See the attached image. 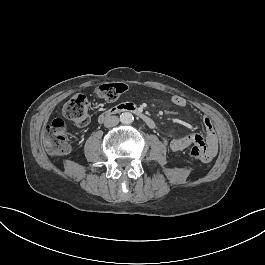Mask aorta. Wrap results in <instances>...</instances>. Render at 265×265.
Instances as JSON below:
<instances>
[{"label": "aorta", "instance_id": "762f6f07", "mask_svg": "<svg viewBox=\"0 0 265 265\" xmlns=\"http://www.w3.org/2000/svg\"><path fill=\"white\" fill-rule=\"evenodd\" d=\"M120 121L125 125L131 124L134 121V116L130 112H124L120 115Z\"/></svg>", "mask_w": 265, "mask_h": 265}]
</instances>
